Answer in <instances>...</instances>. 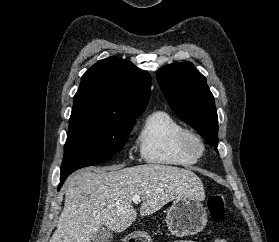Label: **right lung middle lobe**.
<instances>
[{
  "label": "right lung middle lobe",
  "mask_w": 279,
  "mask_h": 242,
  "mask_svg": "<svg viewBox=\"0 0 279 242\" xmlns=\"http://www.w3.org/2000/svg\"><path fill=\"white\" fill-rule=\"evenodd\" d=\"M135 119L71 116L60 180L77 169L98 165L122 150Z\"/></svg>",
  "instance_id": "dd1d6c3e"
}]
</instances>
